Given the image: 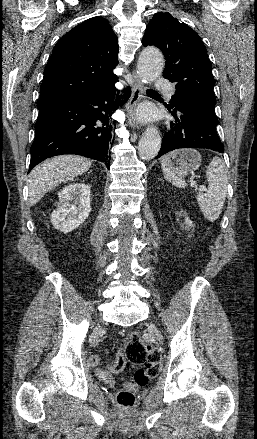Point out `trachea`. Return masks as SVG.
Wrapping results in <instances>:
<instances>
[{
  "label": "trachea",
  "mask_w": 257,
  "mask_h": 439,
  "mask_svg": "<svg viewBox=\"0 0 257 439\" xmlns=\"http://www.w3.org/2000/svg\"><path fill=\"white\" fill-rule=\"evenodd\" d=\"M147 92L156 93L155 91L148 89Z\"/></svg>",
  "instance_id": "trachea-1"
}]
</instances>
